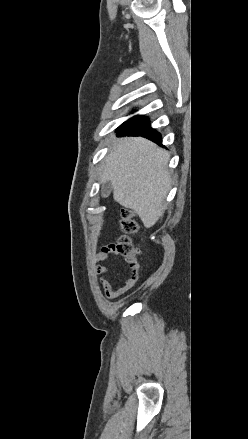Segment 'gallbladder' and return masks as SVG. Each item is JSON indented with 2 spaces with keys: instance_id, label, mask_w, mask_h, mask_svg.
<instances>
[{
  "instance_id": "1",
  "label": "gallbladder",
  "mask_w": 248,
  "mask_h": 439,
  "mask_svg": "<svg viewBox=\"0 0 248 439\" xmlns=\"http://www.w3.org/2000/svg\"><path fill=\"white\" fill-rule=\"evenodd\" d=\"M112 191V184L110 181H106L102 184L101 195L106 198L110 195Z\"/></svg>"
}]
</instances>
